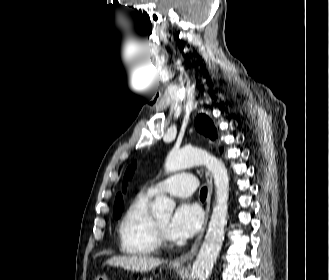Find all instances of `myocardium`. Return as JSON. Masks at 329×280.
Returning <instances> with one entry per match:
<instances>
[{
	"label": "myocardium",
	"mask_w": 329,
	"mask_h": 280,
	"mask_svg": "<svg viewBox=\"0 0 329 280\" xmlns=\"http://www.w3.org/2000/svg\"><path fill=\"white\" fill-rule=\"evenodd\" d=\"M154 232L157 245L161 246H170L172 244L169 236L163 227L158 223L156 219H154Z\"/></svg>",
	"instance_id": "f54148a6"
}]
</instances>
